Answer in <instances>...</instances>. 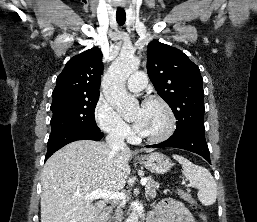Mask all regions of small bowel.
I'll use <instances>...</instances> for the list:
<instances>
[{
	"label": "small bowel",
	"instance_id": "1",
	"mask_svg": "<svg viewBox=\"0 0 257 222\" xmlns=\"http://www.w3.org/2000/svg\"><path fill=\"white\" fill-rule=\"evenodd\" d=\"M150 222H198L181 202L164 199L153 211Z\"/></svg>",
	"mask_w": 257,
	"mask_h": 222
}]
</instances>
